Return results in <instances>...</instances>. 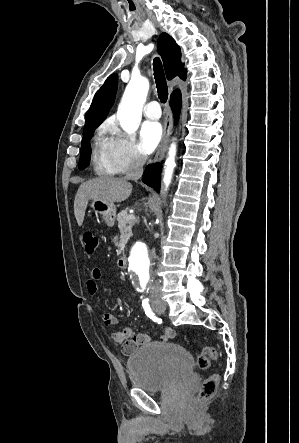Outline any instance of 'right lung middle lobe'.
<instances>
[{"mask_svg": "<svg viewBox=\"0 0 299 443\" xmlns=\"http://www.w3.org/2000/svg\"><path fill=\"white\" fill-rule=\"evenodd\" d=\"M98 125H93L91 127H88L84 129L83 131V138L81 142V156H80V162H79V168L84 169L88 166L91 156V150H90V143L89 140L92 137L94 133V129Z\"/></svg>", "mask_w": 299, "mask_h": 443, "instance_id": "right-lung-middle-lobe-1", "label": "right lung middle lobe"}]
</instances>
